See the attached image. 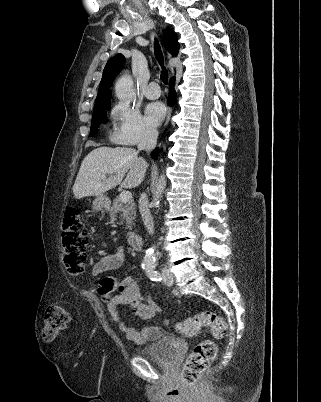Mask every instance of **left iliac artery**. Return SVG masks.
I'll return each instance as SVG.
<instances>
[{
    "label": "left iliac artery",
    "instance_id": "1",
    "mask_svg": "<svg viewBox=\"0 0 321 402\" xmlns=\"http://www.w3.org/2000/svg\"><path fill=\"white\" fill-rule=\"evenodd\" d=\"M146 273L152 281H161L162 280L161 274L158 273L157 271H155L154 266H150V267L146 268Z\"/></svg>",
    "mask_w": 321,
    "mask_h": 402
}]
</instances>
